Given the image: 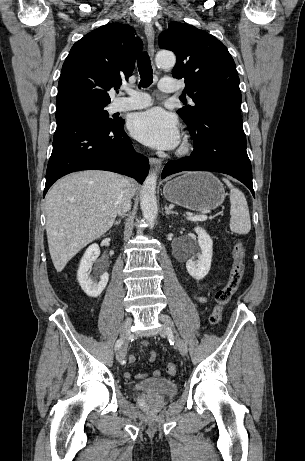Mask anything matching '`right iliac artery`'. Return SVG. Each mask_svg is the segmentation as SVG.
<instances>
[{"label":"right iliac artery","instance_id":"82829eb1","mask_svg":"<svg viewBox=\"0 0 305 461\" xmlns=\"http://www.w3.org/2000/svg\"><path fill=\"white\" fill-rule=\"evenodd\" d=\"M122 343H123V340H122V339L117 340V342H116V344H115V349H116V350L119 349V347L122 345Z\"/></svg>","mask_w":305,"mask_h":461}]
</instances>
